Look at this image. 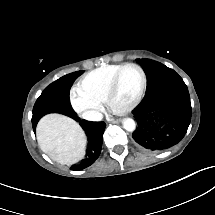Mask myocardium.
<instances>
[{"label": "myocardium", "mask_w": 215, "mask_h": 215, "mask_svg": "<svg viewBox=\"0 0 215 215\" xmlns=\"http://www.w3.org/2000/svg\"><path fill=\"white\" fill-rule=\"evenodd\" d=\"M131 68L137 72L138 83L133 97L130 94H122L116 91L120 78L123 76V69ZM146 77L142 68L136 63H123L118 65V69L113 76L111 87L107 89L106 96L103 99L102 107L104 109H111L113 114L124 115L130 113L136 108V104L140 101L143 94Z\"/></svg>", "instance_id": "obj_1"}]
</instances>
